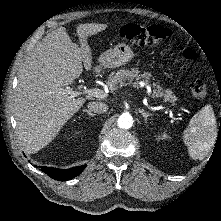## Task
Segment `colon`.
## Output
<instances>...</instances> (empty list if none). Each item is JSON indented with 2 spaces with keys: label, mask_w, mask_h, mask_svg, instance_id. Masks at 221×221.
Wrapping results in <instances>:
<instances>
[{
  "label": "colon",
  "mask_w": 221,
  "mask_h": 221,
  "mask_svg": "<svg viewBox=\"0 0 221 221\" xmlns=\"http://www.w3.org/2000/svg\"><path fill=\"white\" fill-rule=\"evenodd\" d=\"M171 33L169 28L160 25L142 26L129 23L119 29V36L122 39L139 46L156 44L168 38ZM177 54L183 70H187L197 58V54L193 50L182 46L178 47ZM189 90L196 98H203L207 93L205 82L199 78L190 82Z\"/></svg>",
  "instance_id": "1"
}]
</instances>
